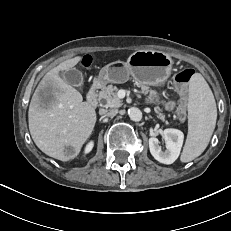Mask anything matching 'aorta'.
<instances>
[{
  "instance_id": "obj_1",
  "label": "aorta",
  "mask_w": 231,
  "mask_h": 231,
  "mask_svg": "<svg viewBox=\"0 0 231 231\" xmlns=\"http://www.w3.org/2000/svg\"><path fill=\"white\" fill-rule=\"evenodd\" d=\"M128 115L132 121L138 122L142 119V112L136 107H132L128 110Z\"/></svg>"
}]
</instances>
